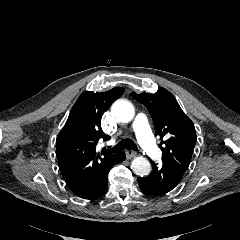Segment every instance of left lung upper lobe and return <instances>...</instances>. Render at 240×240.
Listing matches in <instances>:
<instances>
[{
  "instance_id": "obj_1",
  "label": "left lung upper lobe",
  "mask_w": 240,
  "mask_h": 240,
  "mask_svg": "<svg viewBox=\"0 0 240 240\" xmlns=\"http://www.w3.org/2000/svg\"><path fill=\"white\" fill-rule=\"evenodd\" d=\"M132 96L149 110L156 135L165 138L160 145L162 164L183 177L191 161L196 142L192 121L182 111L174 96L164 88L155 94L132 93Z\"/></svg>"
}]
</instances>
